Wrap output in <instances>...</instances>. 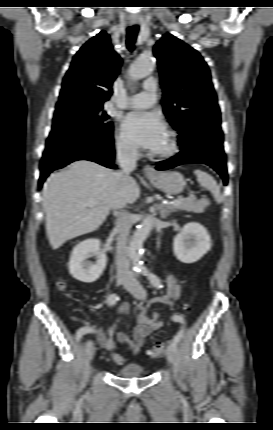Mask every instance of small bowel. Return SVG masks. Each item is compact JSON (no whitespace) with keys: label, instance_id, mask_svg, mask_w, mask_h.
<instances>
[{"label":"small bowel","instance_id":"1","mask_svg":"<svg viewBox=\"0 0 273 430\" xmlns=\"http://www.w3.org/2000/svg\"><path fill=\"white\" fill-rule=\"evenodd\" d=\"M181 295V284L180 281L174 276L169 275L167 280L166 292L153 299L154 302H160L165 304H171ZM119 313L121 315H128L129 305L121 304L119 307ZM179 323L184 322V318L179 316ZM162 327V321L158 313H153L150 317L143 314L139 317V324L133 329L132 338H130L124 331H116V337L118 341L126 345L134 354L139 353L143 347L146 338L151 335L152 332L159 330ZM100 330L96 329L91 325H85L78 329L77 336H84L91 333H99ZM114 328L110 329L107 334H102L99 338V347L104 351L117 354V346L114 342Z\"/></svg>","mask_w":273,"mask_h":430}]
</instances>
